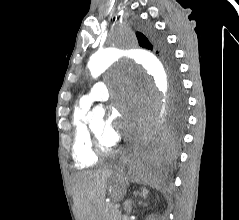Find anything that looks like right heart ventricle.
<instances>
[{"label": "right heart ventricle", "mask_w": 239, "mask_h": 220, "mask_svg": "<svg viewBox=\"0 0 239 220\" xmlns=\"http://www.w3.org/2000/svg\"><path fill=\"white\" fill-rule=\"evenodd\" d=\"M88 106L79 104L75 107L73 124L72 157L78 168H90L97 164L98 156L94 153L86 121Z\"/></svg>", "instance_id": "e07e8e85"}]
</instances>
